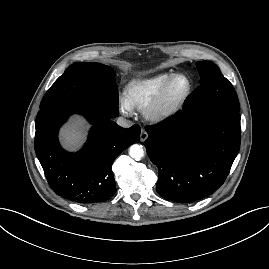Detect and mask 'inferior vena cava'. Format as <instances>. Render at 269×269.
Here are the masks:
<instances>
[{"label": "inferior vena cava", "mask_w": 269, "mask_h": 269, "mask_svg": "<svg viewBox=\"0 0 269 269\" xmlns=\"http://www.w3.org/2000/svg\"><path fill=\"white\" fill-rule=\"evenodd\" d=\"M117 124L121 127L128 128V127H131L133 123L130 120L119 117L117 119Z\"/></svg>", "instance_id": "inferior-vena-cava-1"}]
</instances>
